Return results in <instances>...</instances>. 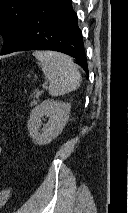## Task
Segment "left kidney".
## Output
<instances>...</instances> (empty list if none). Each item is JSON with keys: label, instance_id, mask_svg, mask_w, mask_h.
Segmentation results:
<instances>
[{"label": "left kidney", "instance_id": "1", "mask_svg": "<svg viewBox=\"0 0 128 213\" xmlns=\"http://www.w3.org/2000/svg\"><path fill=\"white\" fill-rule=\"evenodd\" d=\"M71 105L62 101L45 100L36 106L28 120L29 136L38 145L49 144L61 133L66 125ZM49 117V121L42 126L41 118Z\"/></svg>", "mask_w": 128, "mask_h": 213}]
</instances>
